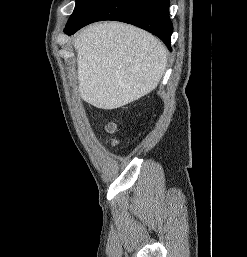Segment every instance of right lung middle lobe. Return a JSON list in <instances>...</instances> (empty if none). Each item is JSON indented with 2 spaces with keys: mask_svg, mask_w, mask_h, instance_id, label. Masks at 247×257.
<instances>
[{
  "mask_svg": "<svg viewBox=\"0 0 247 257\" xmlns=\"http://www.w3.org/2000/svg\"><path fill=\"white\" fill-rule=\"evenodd\" d=\"M93 1L94 0H76L75 9L72 15L70 16L67 24H73L76 21H78L82 17V15L86 12V10L88 9V7L91 5Z\"/></svg>",
  "mask_w": 247,
  "mask_h": 257,
  "instance_id": "obj_1",
  "label": "right lung middle lobe"
}]
</instances>
